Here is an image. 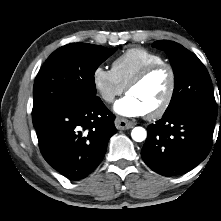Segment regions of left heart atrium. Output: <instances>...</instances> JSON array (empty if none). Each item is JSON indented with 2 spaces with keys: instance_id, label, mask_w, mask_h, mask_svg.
<instances>
[{
  "instance_id": "39dd6f15",
  "label": "left heart atrium",
  "mask_w": 221,
  "mask_h": 221,
  "mask_svg": "<svg viewBox=\"0 0 221 221\" xmlns=\"http://www.w3.org/2000/svg\"><path fill=\"white\" fill-rule=\"evenodd\" d=\"M114 110L126 117L143 116L147 113L141 102L130 94L118 100L114 105Z\"/></svg>"
}]
</instances>
